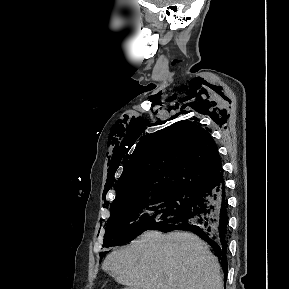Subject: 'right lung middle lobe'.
<instances>
[{"label":"right lung middle lobe","instance_id":"right-lung-middle-lobe-1","mask_svg":"<svg viewBox=\"0 0 289 289\" xmlns=\"http://www.w3.org/2000/svg\"><path fill=\"white\" fill-rule=\"evenodd\" d=\"M192 198V191L179 189L134 196L111 205L103 247L125 244L146 230L158 228L183 214Z\"/></svg>","mask_w":289,"mask_h":289}]
</instances>
